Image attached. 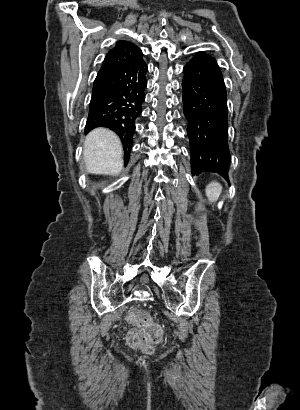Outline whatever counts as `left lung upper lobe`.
Segmentation results:
<instances>
[{"instance_id":"left-lung-upper-lobe-1","label":"left lung upper lobe","mask_w":300,"mask_h":410,"mask_svg":"<svg viewBox=\"0 0 300 410\" xmlns=\"http://www.w3.org/2000/svg\"><path fill=\"white\" fill-rule=\"evenodd\" d=\"M199 54L205 55V56H209L207 54H205L204 52H199Z\"/></svg>"}]
</instances>
